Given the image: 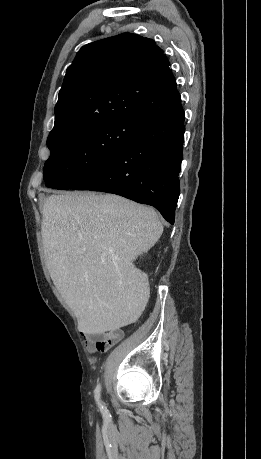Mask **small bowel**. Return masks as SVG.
Instances as JSON below:
<instances>
[{
    "label": "small bowel",
    "instance_id": "c3829d8e",
    "mask_svg": "<svg viewBox=\"0 0 261 459\" xmlns=\"http://www.w3.org/2000/svg\"><path fill=\"white\" fill-rule=\"evenodd\" d=\"M83 334L85 335L87 349L90 352L104 351L119 342L124 336L121 329L107 331L96 326L85 327Z\"/></svg>",
    "mask_w": 261,
    "mask_h": 459
}]
</instances>
